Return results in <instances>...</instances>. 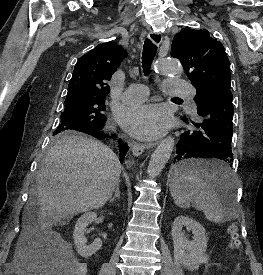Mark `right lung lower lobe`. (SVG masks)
<instances>
[{"label": "right lung lower lobe", "instance_id": "obj_1", "mask_svg": "<svg viewBox=\"0 0 263 275\" xmlns=\"http://www.w3.org/2000/svg\"><path fill=\"white\" fill-rule=\"evenodd\" d=\"M79 132L89 134L98 139L106 138V134H104L103 132L97 129H80ZM118 142H119V151H120V162L123 163V160L125 158V155L129 147L121 140H118Z\"/></svg>", "mask_w": 263, "mask_h": 275}]
</instances>
